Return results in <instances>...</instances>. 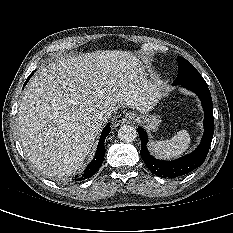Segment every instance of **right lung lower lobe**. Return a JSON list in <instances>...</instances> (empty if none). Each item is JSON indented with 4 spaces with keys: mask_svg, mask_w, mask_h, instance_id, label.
<instances>
[{
    "mask_svg": "<svg viewBox=\"0 0 233 233\" xmlns=\"http://www.w3.org/2000/svg\"><path fill=\"white\" fill-rule=\"evenodd\" d=\"M33 73L34 72H32V74ZM32 74L26 80L24 86L27 84V82L30 79V77L32 76ZM110 131H111L110 125L107 124L106 127L102 131V134H101V137H100V140H99V143H98V148H97L96 155H95L94 159L87 166V168L85 169V171H84V173L82 175H77L75 177V179H74L75 181H81V180L90 178L100 168V166L102 165V162L104 160V156H105V152H106L105 146H104L105 138L109 134Z\"/></svg>",
    "mask_w": 233,
    "mask_h": 233,
    "instance_id": "right-lung-lower-lobe-1",
    "label": "right lung lower lobe"
}]
</instances>
